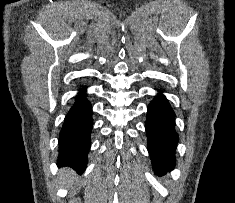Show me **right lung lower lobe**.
<instances>
[{"instance_id":"right-lung-lower-lobe-1","label":"right lung lower lobe","mask_w":235,"mask_h":203,"mask_svg":"<svg viewBox=\"0 0 235 203\" xmlns=\"http://www.w3.org/2000/svg\"><path fill=\"white\" fill-rule=\"evenodd\" d=\"M92 126V107L82 88L60 131L58 166L71 167L78 174L85 171Z\"/></svg>"}]
</instances>
